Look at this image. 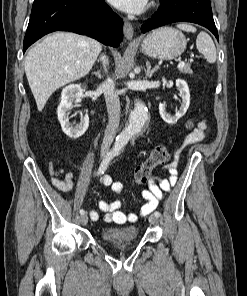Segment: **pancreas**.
<instances>
[{"label": "pancreas", "mask_w": 247, "mask_h": 296, "mask_svg": "<svg viewBox=\"0 0 247 296\" xmlns=\"http://www.w3.org/2000/svg\"><path fill=\"white\" fill-rule=\"evenodd\" d=\"M180 72L184 73V74H192V70L190 65H184L182 68H179Z\"/></svg>", "instance_id": "pancreas-1"}]
</instances>
